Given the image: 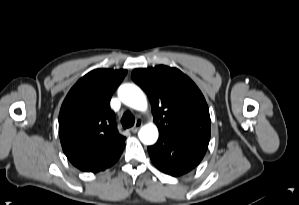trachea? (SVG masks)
Returning a JSON list of instances; mask_svg holds the SVG:
<instances>
[{"label":"trachea","instance_id":"obj_1","mask_svg":"<svg viewBox=\"0 0 299 205\" xmlns=\"http://www.w3.org/2000/svg\"><path fill=\"white\" fill-rule=\"evenodd\" d=\"M121 123L123 128L132 127L135 123V118L133 114L130 111L125 112L122 116Z\"/></svg>","mask_w":299,"mask_h":205}]
</instances>
